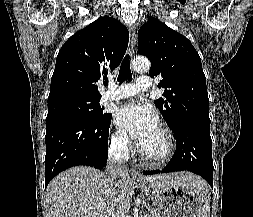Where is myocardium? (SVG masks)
I'll return each mask as SVG.
<instances>
[{"label":"myocardium","instance_id":"1","mask_svg":"<svg viewBox=\"0 0 253 217\" xmlns=\"http://www.w3.org/2000/svg\"><path fill=\"white\" fill-rule=\"evenodd\" d=\"M158 128L163 133L166 140V151L163 155L152 157L146 154L139 145L137 146V151L140 158L144 162L151 165H161L168 162L173 157L175 152V140L172 131L165 125H160Z\"/></svg>","mask_w":253,"mask_h":217}]
</instances>
